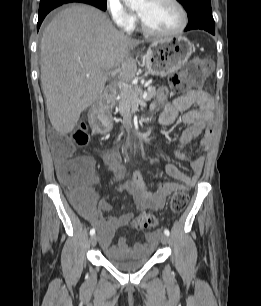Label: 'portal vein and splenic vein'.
I'll use <instances>...</instances> for the list:
<instances>
[{"label": "portal vein and splenic vein", "mask_w": 261, "mask_h": 306, "mask_svg": "<svg viewBox=\"0 0 261 306\" xmlns=\"http://www.w3.org/2000/svg\"><path fill=\"white\" fill-rule=\"evenodd\" d=\"M119 72V70L115 69V70H112V71H109L107 73V76H111V77H115L117 75V73ZM117 85L118 87L121 89V90H124V91H127L131 88L130 85H128L127 83L125 82H122V81H118L117 82ZM145 98V96L143 97ZM138 104H141V105H146L143 101L141 100H138Z\"/></svg>", "instance_id": "18ae733b"}]
</instances>
